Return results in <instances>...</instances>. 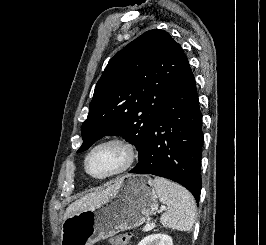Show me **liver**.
Instances as JSON below:
<instances>
[{
    "mask_svg": "<svg viewBox=\"0 0 266 245\" xmlns=\"http://www.w3.org/2000/svg\"><path fill=\"white\" fill-rule=\"evenodd\" d=\"M116 189V185H110L104 191H95V193H88V195H84L81 197L79 201H75V203H71L69 207L66 209V213L64 215V221L67 217H71L74 213H82V211H92L93 207L96 205H102V203H107L111 193H114Z\"/></svg>",
    "mask_w": 266,
    "mask_h": 245,
    "instance_id": "obj_1",
    "label": "liver"
}]
</instances>
